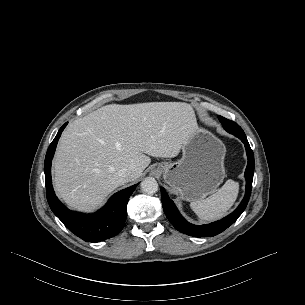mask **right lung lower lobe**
Wrapping results in <instances>:
<instances>
[{"label": "right lung lower lobe", "instance_id": "right-lung-lower-lobe-1", "mask_svg": "<svg viewBox=\"0 0 305 305\" xmlns=\"http://www.w3.org/2000/svg\"><path fill=\"white\" fill-rule=\"evenodd\" d=\"M65 123L50 144L44 163L47 201L53 213L75 235L88 242H100L117 235L127 217V203L137 184L115 193L107 204L94 214H82L67 209L56 197L51 181V163Z\"/></svg>", "mask_w": 305, "mask_h": 305}]
</instances>
